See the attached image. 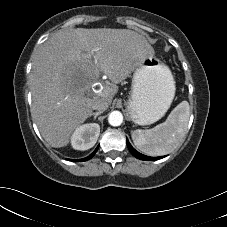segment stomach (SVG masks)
Instances as JSON below:
<instances>
[{"label": "stomach", "instance_id": "obj_1", "mask_svg": "<svg viewBox=\"0 0 227 227\" xmlns=\"http://www.w3.org/2000/svg\"><path fill=\"white\" fill-rule=\"evenodd\" d=\"M175 81L167 65L155 56L139 60L133 70L132 88L126 102L132 122L149 125L169 109L175 96Z\"/></svg>", "mask_w": 227, "mask_h": 227}]
</instances>
